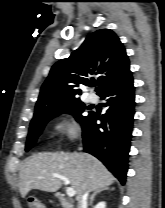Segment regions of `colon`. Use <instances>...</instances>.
Here are the masks:
<instances>
[{"mask_svg": "<svg viewBox=\"0 0 165 208\" xmlns=\"http://www.w3.org/2000/svg\"><path fill=\"white\" fill-rule=\"evenodd\" d=\"M29 208H44L43 204L37 199H32L28 203Z\"/></svg>", "mask_w": 165, "mask_h": 208, "instance_id": "1", "label": "colon"}]
</instances>
